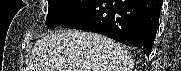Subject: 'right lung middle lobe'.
Instances as JSON below:
<instances>
[{
	"label": "right lung middle lobe",
	"instance_id": "right-lung-middle-lobe-1",
	"mask_svg": "<svg viewBox=\"0 0 181 71\" xmlns=\"http://www.w3.org/2000/svg\"><path fill=\"white\" fill-rule=\"evenodd\" d=\"M94 0H48L49 8L46 20L48 28L61 25Z\"/></svg>",
	"mask_w": 181,
	"mask_h": 71
}]
</instances>
